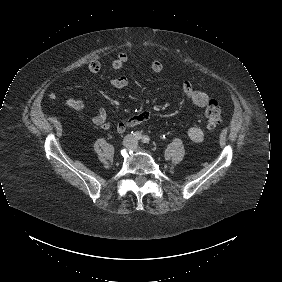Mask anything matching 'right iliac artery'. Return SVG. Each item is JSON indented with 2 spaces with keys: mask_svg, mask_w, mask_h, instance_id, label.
Instances as JSON below:
<instances>
[{
  "mask_svg": "<svg viewBox=\"0 0 282 282\" xmlns=\"http://www.w3.org/2000/svg\"><path fill=\"white\" fill-rule=\"evenodd\" d=\"M131 133H132L134 139H136V140H140V139L142 138L141 133L138 132V131H136V132H133V131H132Z\"/></svg>",
  "mask_w": 282,
  "mask_h": 282,
  "instance_id": "obj_1",
  "label": "right iliac artery"
}]
</instances>
